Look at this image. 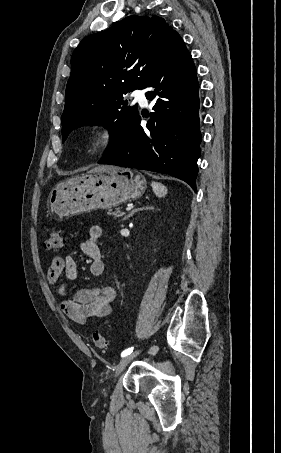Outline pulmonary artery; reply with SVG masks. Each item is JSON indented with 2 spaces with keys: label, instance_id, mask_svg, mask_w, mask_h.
<instances>
[{
  "label": "pulmonary artery",
  "instance_id": "pulmonary-artery-1",
  "mask_svg": "<svg viewBox=\"0 0 281 453\" xmlns=\"http://www.w3.org/2000/svg\"><path fill=\"white\" fill-rule=\"evenodd\" d=\"M146 91L145 90H135L132 92V96L134 97L135 101H138L139 103L146 105L147 100H146Z\"/></svg>",
  "mask_w": 281,
  "mask_h": 453
}]
</instances>
